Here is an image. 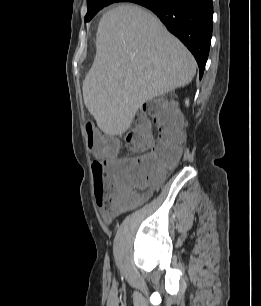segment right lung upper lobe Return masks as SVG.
I'll return each instance as SVG.
<instances>
[{
    "label": "right lung upper lobe",
    "instance_id": "1",
    "mask_svg": "<svg viewBox=\"0 0 261 306\" xmlns=\"http://www.w3.org/2000/svg\"><path fill=\"white\" fill-rule=\"evenodd\" d=\"M90 1V0H87V2ZM101 1H105V0H101ZM114 1H117V2H132L133 0H114Z\"/></svg>",
    "mask_w": 261,
    "mask_h": 306
}]
</instances>
